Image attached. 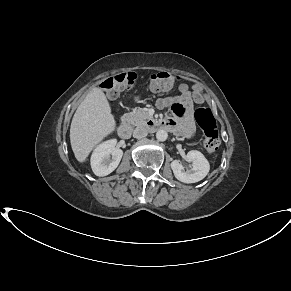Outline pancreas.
I'll use <instances>...</instances> for the list:
<instances>
[{
    "instance_id": "pancreas-1",
    "label": "pancreas",
    "mask_w": 291,
    "mask_h": 291,
    "mask_svg": "<svg viewBox=\"0 0 291 291\" xmlns=\"http://www.w3.org/2000/svg\"><path fill=\"white\" fill-rule=\"evenodd\" d=\"M127 117L132 125L137 126L145 124L146 120L150 118V115L145 108H138L128 113Z\"/></svg>"
}]
</instances>
